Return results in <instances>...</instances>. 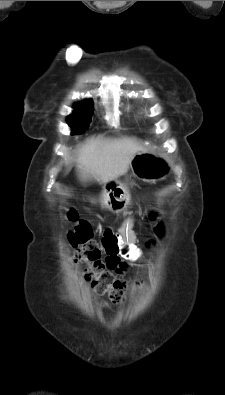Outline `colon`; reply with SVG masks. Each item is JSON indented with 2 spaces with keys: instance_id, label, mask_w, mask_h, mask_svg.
Masks as SVG:
<instances>
[{
  "instance_id": "1",
  "label": "colon",
  "mask_w": 225,
  "mask_h": 395,
  "mask_svg": "<svg viewBox=\"0 0 225 395\" xmlns=\"http://www.w3.org/2000/svg\"><path fill=\"white\" fill-rule=\"evenodd\" d=\"M66 218L74 224L69 232V243L74 250V259L77 263L85 265V278L100 294H107L113 303H121L126 299L127 282L115 278L111 273L112 260L107 256L102 259V251L94 240L91 225L80 220L74 209H69ZM162 235V227L156 229Z\"/></svg>"
}]
</instances>
